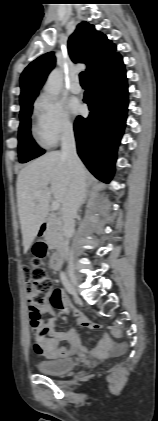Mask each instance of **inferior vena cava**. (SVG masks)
Segmentation results:
<instances>
[{
  "mask_svg": "<svg viewBox=\"0 0 158 421\" xmlns=\"http://www.w3.org/2000/svg\"><path fill=\"white\" fill-rule=\"evenodd\" d=\"M61 153L67 159L70 184L62 203L63 235L70 239L75 230L74 218L86 192V170L77 155L74 132L71 125H66L61 137ZM72 254L69 252V262Z\"/></svg>",
  "mask_w": 158,
  "mask_h": 421,
  "instance_id": "1",
  "label": "inferior vena cava"
}]
</instances>
